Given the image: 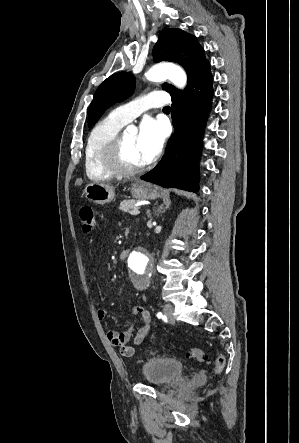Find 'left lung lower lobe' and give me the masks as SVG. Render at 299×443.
<instances>
[{
    "label": "left lung lower lobe",
    "instance_id": "obj_1",
    "mask_svg": "<svg viewBox=\"0 0 299 443\" xmlns=\"http://www.w3.org/2000/svg\"><path fill=\"white\" fill-rule=\"evenodd\" d=\"M209 62L189 81L184 91L172 96V120L176 133L170 138L165 155L142 180L163 187L198 191L197 164L201 140L213 97Z\"/></svg>",
    "mask_w": 299,
    "mask_h": 443
}]
</instances>
